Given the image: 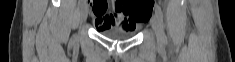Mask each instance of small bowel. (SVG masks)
<instances>
[{
	"label": "small bowel",
	"mask_w": 235,
	"mask_h": 62,
	"mask_svg": "<svg viewBox=\"0 0 235 62\" xmlns=\"http://www.w3.org/2000/svg\"><path fill=\"white\" fill-rule=\"evenodd\" d=\"M91 17L97 29H136L138 24H133L130 18L123 12L118 4H113V9L109 10L104 4L103 9L94 6L91 10Z\"/></svg>",
	"instance_id": "1"
}]
</instances>
